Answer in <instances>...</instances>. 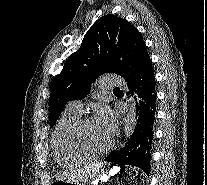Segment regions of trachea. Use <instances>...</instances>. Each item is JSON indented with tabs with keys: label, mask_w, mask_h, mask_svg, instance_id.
<instances>
[{
	"label": "trachea",
	"mask_w": 207,
	"mask_h": 185,
	"mask_svg": "<svg viewBox=\"0 0 207 185\" xmlns=\"http://www.w3.org/2000/svg\"><path fill=\"white\" fill-rule=\"evenodd\" d=\"M114 90H119V87H116V89H114Z\"/></svg>",
	"instance_id": "obj_1"
}]
</instances>
